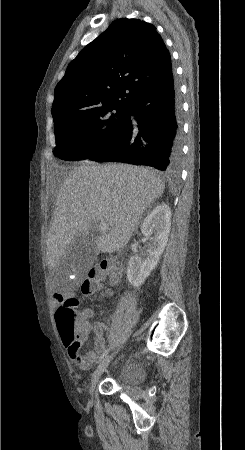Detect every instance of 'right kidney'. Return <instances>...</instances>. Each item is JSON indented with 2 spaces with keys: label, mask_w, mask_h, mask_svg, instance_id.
<instances>
[{
  "label": "right kidney",
  "mask_w": 245,
  "mask_h": 450,
  "mask_svg": "<svg viewBox=\"0 0 245 450\" xmlns=\"http://www.w3.org/2000/svg\"><path fill=\"white\" fill-rule=\"evenodd\" d=\"M171 228V210L164 203L157 205L144 219L141 232L144 236L150 237L151 244L147 251V257L141 259L139 256H132L128 263L127 279L134 287H140L157 266L159 258L163 253Z\"/></svg>",
  "instance_id": "right-kidney-1"
}]
</instances>
